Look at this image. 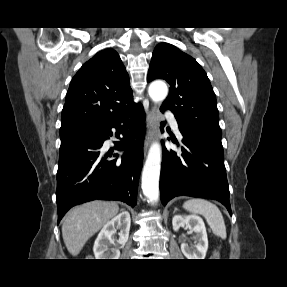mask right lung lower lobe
Here are the masks:
<instances>
[{
    "instance_id": "98d812e1",
    "label": "right lung lower lobe",
    "mask_w": 287,
    "mask_h": 287,
    "mask_svg": "<svg viewBox=\"0 0 287 287\" xmlns=\"http://www.w3.org/2000/svg\"><path fill=\"white\" fill-rule=\"evenodd\" d=\"M145 113L138 104L93 126V131L61 139L57 171L58 223L73 206L92 201L119 200L134 207L143 161ZM112 128L122 134L116 150L121 157L104 153L103 143ZM119 133L116 132L118 138Z\"/></svg>"
}]
</instances>
